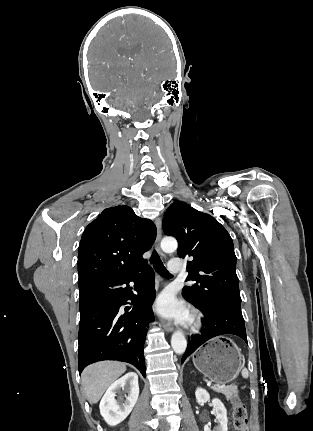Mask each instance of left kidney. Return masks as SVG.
<instances>
[{
	"label": "left kidney",
	"instance_id": "1",
	"mask_svg": "<svg viewBox=\"0 0 313 431\" xmlns=\"http://www.w3.org/2000/svg\"><path fill=\"white\" fill-rule=\"evenodd\" d=\"M196 401L197 403H205L210 399L209 393L202 388H197L195 391ZM212 404L214 410L216 412V419L218 420V427L216 431H228V419H227V410L221 400L215 398L212 400ZM204 431H211L208 426L204 427Z\"/></svg>",
	"mask_w": 313,
	"mask_h": 431
}]
</instances>
